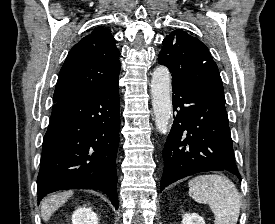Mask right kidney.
Returning <instances> with one entry per match:
<instances>
[{
    "instance_id": "ca27d5eb",
    "label": "right kidney",
    "mask_w": 275,
    "mask_h": 224,
    "mask_svg": "<svg viewBox=\"0 0 275 224\" xmlns=\"http://www.w3.org/2000/svg\"><path fill=\"white\" fill-rule=\"evenodd\" d=\"M72 224H98V217L91 208L80 207L72 215Z\"/></svg>"
}]
</instances>
